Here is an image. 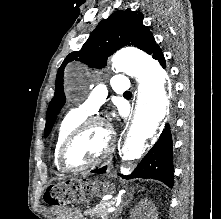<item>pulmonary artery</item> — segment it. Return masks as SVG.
I'll return each instance as SVG.
<instances>
[{
    "label": "pulmonary artery",
    "instance_id": "1",
    "mask_svg": "<svg viewBox=\"0 0 221 219\" xmlns=\"http://www.w3.org/2000/svg\"><path fill=\"white\" fill-rule=\"evenodd\" d=\"M129 79L125 75H115L112 78L113 92L118 95H125L130 91ZM107 90L103 85L97 86L75 110L86 115L94 114L105 102Z\"/></svg>",
    "mask_w": 221,
    "mask_h": 219
}]
</instances>
